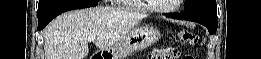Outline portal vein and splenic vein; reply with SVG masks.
I'll list each match as a JSON object with an SVG mask.
<instances>
[{
	"label": "portal vein and splenic vein",
	"mask_w": 261,
	"mask_h": 59,
	"mask_svg": "<svg viewBox=\"0 0 261 59\" xmlns=\"http://www.w3.org/2000/svg\"><path fill=\"white\" fill-rule=\"evenodd\" d=\"M95 39H96L95 36H89V37H88V41H90V42H91V41H94Z\"/></svg>",
	"instance_id": "1"
}]
</instances>
